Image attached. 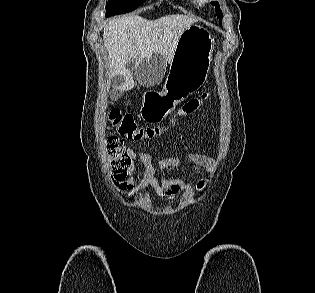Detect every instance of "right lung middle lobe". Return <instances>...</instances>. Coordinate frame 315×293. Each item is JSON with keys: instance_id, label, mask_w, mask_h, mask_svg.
I'll return each mask as SVG.
<instances>
[{"instance_id": "dd1d6c3e", "label": "right lung middle lobe", "mask_w": 315, "mask_h": 293, "mask_svg": "<svg viewBox=\"0 0 315 293\" xmlns=\"http://www.w3.org/2000/svg\"><path fill=\"white\" fill-rule=\"evenodd\" d=\"M145 1L146 0H108L106 4V17L133 11L138 5Z\"/></svg>"}]
</instances>
